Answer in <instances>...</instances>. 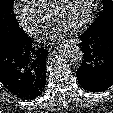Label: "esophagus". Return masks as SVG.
I'll use <instances>...</instances> for the list:
<instances>
[{
	"label": "esophagus",
	"mask_w": 113,
	"mask_h": 113,
	"mask_svg": "<svg viewBox=\"0 0 113 113\" xmlns=\"http://www.w3.org/2000/svg\"><path fill=\"white\" fill-rule=\"evenodd\" d=\"M74 42L77 43V40L74 39Z\"/></svg>",
	"instance_id": "obj_1"
}]
</instances>
